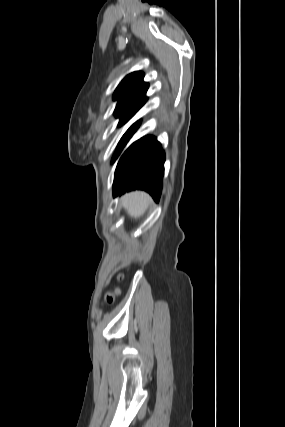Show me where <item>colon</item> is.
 I'll use <instances>...</instances> for the list:
<instances>
[{"label": "colon", "mask_w": 285, "mask_h": 427, "mask_svg": "<svg viewBox=\"0 0 285 427\" xmlns=\"http://www.w3.org/2000/svg\"><path fill=\"white\" fill-rule=\"evenodd\" d=\"M121 279H122V277L120 276L118 280L120 281ZM119 291H120V289H119L118 285L113 286L106 294V298H105L106 302L107 303L113 302L115 300L116 296L119 294Z\"/></svg>", "instance_id": "5ec220e1"}]
</instances>
